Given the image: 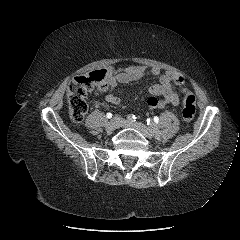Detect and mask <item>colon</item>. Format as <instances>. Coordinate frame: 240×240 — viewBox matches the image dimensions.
<instances>
[{
  "label": "colon",
  "instance_id": "colon-1",
  "mask_svg": "<svg viewBox=\"0 0 240 240\" xmlns=\"http://www.w3.org/2000/svg\"><path fill=\"white\" fill-rule=\"evenodd\" d=\"M106 78V70H95L74 78L70 83L67 91V101L70 118L75 123H80L88 111L86 101L88 93L95 89L103 90ZM183 95L182 116L186 122H191L196 113L195 96L188 89L183 90Z\"/></svg>",
  "mask_w": 240,
  "mask_h": 240
}]
</instances>
